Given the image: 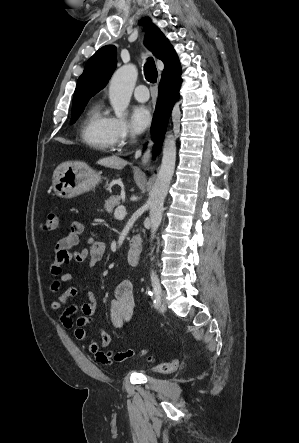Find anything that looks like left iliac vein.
Listing matches in <instances>:
<instances>
[{
    "instance_id": "obj_1",
    "label": "left iliac vein",
    "mask_w": 299,
    "mask_h": 443,
    "mask_svg": "<svg viewBox=\"0 0 299 443\" xmlns=\"http://www.w3.org/2000/svg\"><path fill=\"white\" fill-rule=\"evenodd\" d=\"M161 296L163 297V299H162V302H161L160 305H159V309H160L161 311H165L166 308H167V305H166V299H165V293H161Z\"/></svg>"
}]
</instances>
